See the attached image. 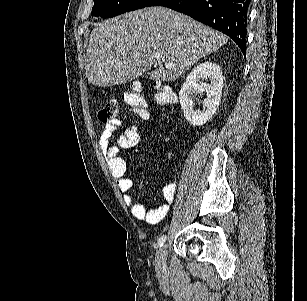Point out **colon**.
Masks as SVG:
<instances>
[{
  "instance_id": "colon-1",
  "label": "colon",
  "mask_w": 307,
  "mask_h": 301,
  "mask_svg": "<svg viewBox=\"0 0 307 301\" xmlns=\"http://www.w3.org/2000/svg\"><path fill=\"white\" fill-rule=\"evenodd\" d=\"M155 89V99L157 103L166 105L174 102L175 94L170 87L158 83ZM123 100L133 109L134 113L141 120H145L149 117L147 101L143 95L141 86L133 85L131 89L124 94ZM117 116L118 102L116 100L107 101L98 112V119L104 124L117 120Z\"/></svg>"
}]
</instances>
